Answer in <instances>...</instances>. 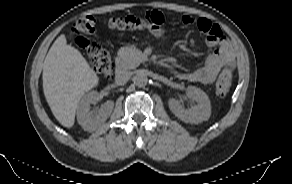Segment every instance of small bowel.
I'll use <instances>...</instances> for the list:
<instances>
[{"label": "small bowel", "instance_id": "c3829d8e", "mask_svg": "<svg viewBox=\"0 0 292 184\" xmlns=\"http://www.w3.org/2000/svg\"><path fill=\"white\" fill-rule=\"evenodd\" d=\"M161 15H165L160 12ZM182 22L185 25H197V27L206 34V45L210 48H216L205 60V63L200 68L191 71L180 73L178 77L189 82L200 84H211L223 69L233 70L236 65L237 55L231 41L223 36L222 30L216 23L207 18H197L191 15H183ZM165 31L161 27L153 35L162 37Z\"/></svg>", "mask_w": 292, "mask_h": 184}]
</instances>
